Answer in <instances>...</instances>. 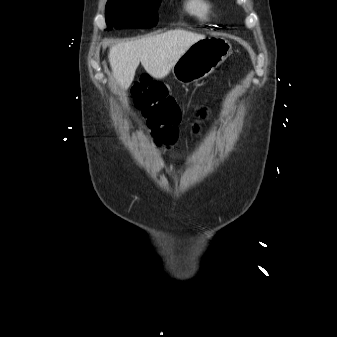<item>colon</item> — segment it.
Listing matches in <instances>:
<instances>
[{
    "mask_svg": "<svg viewBox=\"0 0 337 337\" xmlns=\"http://www.w3.org/2000/svg\"><path fill=\"white\" fill-rule=\"evenodd\" d=\"M134 101L151 129L154 143L159 147H169L176 143L181 121L180 108L176 100L169 95L163 84L148 75H142L132 87ZM204 108L197 110V117L204 115ZM199 130L194 124L193 131Z\"/></svg>",
    "mask_w": 337,
    "mask_h": 337,
    "instance_id": "obj_1",
    "label": "colon"
}]
</instances>
